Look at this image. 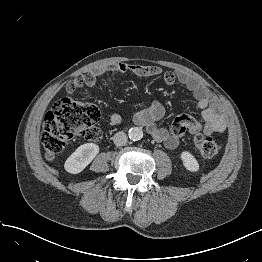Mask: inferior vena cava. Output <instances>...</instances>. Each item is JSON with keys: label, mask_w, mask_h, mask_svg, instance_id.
I'll return each mask as SVG.
<instances>
[{"label": "inferior vena cava", "mask_w": 262, "mask_h": 262, "mask_svg": "<svg viewBox=\"0 0 262 262\" xmlns=\"http://www.w3.org/2000/svg\"><path fill=\"white\" fill-rule=\"evenodd\" d=\"M116 146H124L127 143V135L123 131L117 132L113 137Z\"/></svg>", "instance_id": "inferior-vena-cava-1"}]
</instances>
